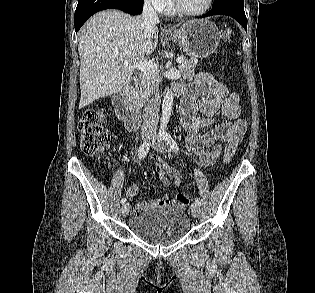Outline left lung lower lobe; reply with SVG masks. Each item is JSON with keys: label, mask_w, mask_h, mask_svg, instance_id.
Returning a JSON list of instances; mask_svg holds the SVG:
<instances>
[{"label": "left lung lower lobe", "mask_w": 315, "mask_h": 293, "mask_svg": "<svg viewBox=\"0 0 315 293\" xmlns=\"http://www.w3.org/2000/svg\"><path fill=\"white\" fill-rule=\"evenodd\" d=\"M212 15H228L237 20L247 31V19L244 12V6L240 5H223L210 10L208 13L200 16V18L212 16Z\"/></svg>", "instance_id": "1"}]
</instances>
